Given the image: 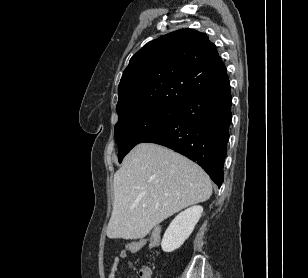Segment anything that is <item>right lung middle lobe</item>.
Listing matches in <instances>:
<instances>
[{"label":"right lung middle lobe","instance_id":"1","mask_svg":"<svg viewBox=\"0 0 308 278\" xmlns=\"http://www.w3.org/2000/svg\"><path fill=\"white\" fill-rule=\"evenodd\" d=\"M177 114L178 107H153L119 120L115 125V138L119 145V162L135 145L169 124Z\"/></svg>","mask_w":308,"mask_h":278}]
</instances>
